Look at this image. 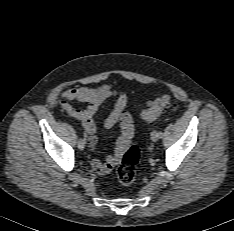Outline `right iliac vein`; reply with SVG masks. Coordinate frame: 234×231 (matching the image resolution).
<instances>
[{"label": "right iliac vein", "instance_id": "1", "mask_svg": "<svg viewBox=\"0 0 234 231\" xmlns=\"http://www.w3.org/2000/svg\"><path fill=\"white\" fill-rule=\"evenodd\" d=\"M84 146H85V141L79 139V140H78V148H79L80 150H83V149H84Z\"/></svg>", "mask_w": 234, "mask_h": 231}]
</instances>
